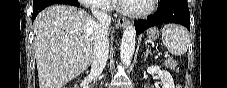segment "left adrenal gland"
I'll list each match as a JSON object with an SVG mask.
<instances>
[{"instance_id":"a2214340","label":"left adrenal gland","mask_w":227,"mask_h":88,"mask_svg":"<svg viewBox=\"0 0 227 88\" xmlns=\"http://www.w3.org/2000/svg\"><path fill=\"white\" fill-rule=\"evenodd\" d=\"M151 53V51L149 49L146 50V53H145V59L148 57V55Z\"/></svg>"}]
</instances>
